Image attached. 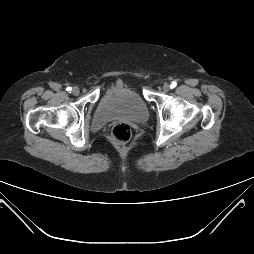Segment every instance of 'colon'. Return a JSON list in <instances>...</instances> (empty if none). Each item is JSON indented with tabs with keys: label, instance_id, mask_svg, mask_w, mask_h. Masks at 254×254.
Here are the masks:
<instances>
[{
	"label": "colon",
	"instance_id": "5ec220e1",
	"mask_svg": "<svg viewBox=\"0 0 254 254\" xmlns=\"http://www.w3.org/2000/svg\"><path fill=\"white\" fill-rule=\"evenodd\" d=\"M131 135V128L126 123H118L112 128L111 137L114 143L117 145H126L129 142Z\"/></svg>",
	"mask_w": 254,
	"mask_h": 254
}]
</instances>
